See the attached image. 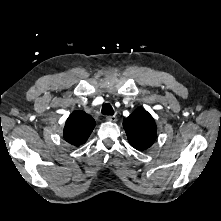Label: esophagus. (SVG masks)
<instances>
[{
	"mask_svg": "<svg viewBox=\"0 0 221 221\" xmlns=\"http://www.w3.org/2000/svg\"><path fill=\"white\" fill-rule=\"evenodd\" d=\"M106 120L109 121V122H116L117 121V117L115 115L107 116Z\"/></svg>",
	"mask_w": 221,
	"mask_h": 221,
	"instance_id": "1",
	"label": "esophagus"
}]
</instances>
